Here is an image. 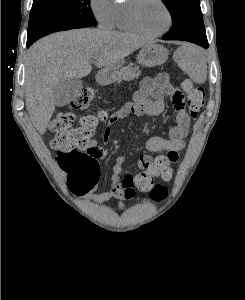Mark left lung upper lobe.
Segmentation results:
<instances>
[{"label": "left lung upper lobe", "instance_id": "obj_1", "mask_svg": "<svg viewBox=\"0 0 245 300\" xmlns=\"http://www.w3.org/2000/svg\"><path fill=\"white\" fill-rule=\"evenodd\" d=\"M172 18V30L163 37H181L204 31L203 14L199 0H162Z\"/></svg>", "mask_w": 245, "mask_h": 300}]
</instances>
